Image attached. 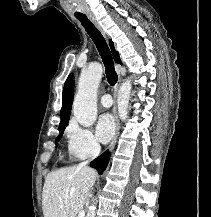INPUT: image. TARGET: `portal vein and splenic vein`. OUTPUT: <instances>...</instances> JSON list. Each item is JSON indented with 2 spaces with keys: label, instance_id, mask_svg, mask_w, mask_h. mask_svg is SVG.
Masks as SVG:
<instances>
[{
  "label": "portal vein and splenic vein",
  "instance_id": "portal-vein-and-splenic-vein-1",
  "mask_svg": "<svg viewBox=\"0 0 211 217\" xmlns=\"http://www.w3.org/2000/svg\"><path fill=\"white\" fill-rule=\"evenodd\" d=\"M84 216H85V212L84 211L79 212V216L78 217H84Z\"/></svg>",
  "mask_w": 211,
  "mask_h": 217
}]
</instances>
